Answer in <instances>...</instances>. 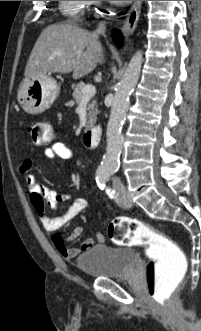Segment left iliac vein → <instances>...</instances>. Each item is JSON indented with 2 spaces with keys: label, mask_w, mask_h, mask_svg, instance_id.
Returning a JSON list of instances; mask_svg holds the SVG:
<instances>
[{
  "label": "left iliac vein",
  "mask_w": 201,
  "mask_h": 331,
  "mask_svg": "<svg viewBox=\"0 0 201 331\" xmlns=\"http://www.w3.org/2000/svg\"><path fill=\"white\" fill-rule=\"evenodd\" d=\"M113 186L116 191H122L123 190V185L119 180H114Z\"/></svg>",
  "instance_id": "1"
}]
</instances>
